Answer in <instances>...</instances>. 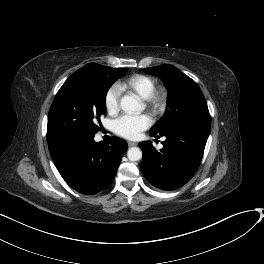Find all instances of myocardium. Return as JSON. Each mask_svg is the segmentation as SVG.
Segmentation results:
<instances>
[{
    "label": "myocardium",
    "mask_w": 264,
    "mask_h": 264,
    "mask_svg": "<svg viewBox=\"0 0 264 264\" xmlns=\"http://www.w3.org/2000/svg\"><path fill=\"white\" fill-rule=\"evenodd\" d=\"M144 100L146 107L153 114H160L166 107L167 92L164 88H155L151 95Z\"/></svg>",
    "instance_id": "1"
}]
</instances>
